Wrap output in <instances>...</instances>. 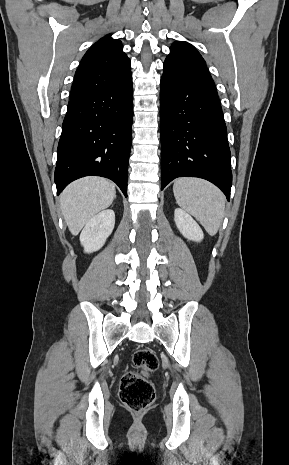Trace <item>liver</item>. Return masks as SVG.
<instances>
[{
  "mask_svg": "<svg viewBox=\"0 0 289 465\" xmlns=\"http://www.w3.org/2000/svg\"><path fill=\"white\" fill-rule=\"evenodd\" d=\"M115 196V185L104 178L86 177L71 183L60 197L70 232L77 235L98 212L112 204Z\"/></svg>",
  "mask_w": 289,
  "mask_h": 465,
  "instance_id": "obj_1",
  "label": "liver"
}]
</instances>
